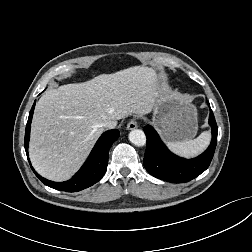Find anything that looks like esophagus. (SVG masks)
<instances>
[{"label":"esophagus","mask_w":252,"mask_h":252,"mask_svg":"<svg viewBox=\"0 0 252 252\" xmlns=\"http://www.w3.org/2000/svg\"><path fill=\"white\" fill-rule=\"evenodd\" d=\"M136 128H137V122L134 119L130 120L127 124V130H134Z\"/></svg>","instance_id":"esophagus-1"}]
</instances>
